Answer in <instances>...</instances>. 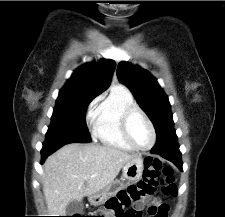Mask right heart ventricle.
Instances as JSON below:
<instances>
[{
    "instance_id": "e07e8e85",
    "label": "right heart ventricle",
    "mask_w": 225,
    "mask_h": 217,
    "mask_svg": "<svg viewBox=\"0 0 225 217\" xmlns=\"http://www.w3.org/2000/svg\"><path fill=\"white\" fill-rule=\"evenodd\" d=\"M136 105L132 93L124 86H114L101 101L94 114V135L104 146L120 151L134 149L125 141L121 132L123 112Z\"/></svg>"
}]
</instances>
